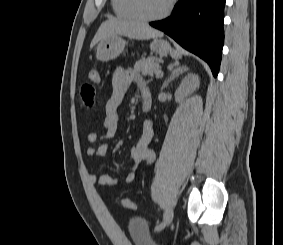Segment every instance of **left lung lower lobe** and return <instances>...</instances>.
Here are the masks:
<instances>
[{
	"label": "left lung lower lobe",
	"mask_w": 283,
	"mask_h": 245,
	"mask_svg": "<svg viewBox=\"0 0 283 245\" xmlns=\"http://www.w3.org/2000/svg\"><path fill=\"white\" fill-rule=\"evenodd\" d=\"M225 1L179 0L171 16L150 25L205 60L216 77L224 42Z\"/></svg>",
	"instance_id": "0a47b994"
}]
</instances>
